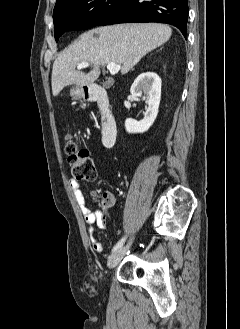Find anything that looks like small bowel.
Segmentation results:
<instances>
[{
  "label": "small bowel",
  "mask_w": 240,
  "mask_h": 329,
  "mask_svg": "<svg viewBox=\"0 0 240 329\" xmlns=\"http://www.w3.org/2000/svg\"><path fill=\"white\" fill-rule=\"evenodd\" d=\"M69 184L74 194L75 200L83 213L85 223L88 226V232L92 243V248L95 252H101L103 250V244L100 240L94 237V226L97 225L100 229H105L108 222L110 221V216L104 210H90L86 206L85 197L83 195L81 185L74 180H70ZM112 204L113 200L109 198L108 202L105 204V207H110Z\"/></svg>",
  "instance_id": "1"
}]
</instances>
